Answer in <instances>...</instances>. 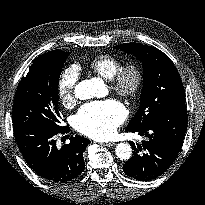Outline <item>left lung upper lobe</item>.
<instances>
[{
  "mask_svg": "<svg viewBox=\"0 0 205 205\" xmlns=\"http://www.w3.org/2000/svg\"><path fill=\"white\" fill-rule=\"evenodd\" d=\"M114 48L133 54L140 59L144 68L140 107L126 129L142 127L166 110L185 105L181 78L166 54L138 43H124Z\"/></svg>",
  "mask_w": 205,
  "mask_h": 205,
  "instance_id": "5c2ea615",
  "label": "left lung upper lobe"
}]
</instances>
